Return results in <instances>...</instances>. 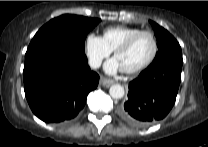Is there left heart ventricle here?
Returning <instances> with one entry per match:
<instances>
[{
  "instance_id": "1",
  "label": "left heart ventricle",
  "mask_w": 208,
  "mask_h": 147,
  "mask_svg": "<svg viewBox=\"0 0 208 147\" xmlns=\"http://www.w3.org/2000/svg\"><path fill=\"white\" fill-rule=\"evenodd\" d=\"M153 41L149 35L138 37L129 49L119 53L116 58L122 69L134 68L149 59L153 52Z\"/></svg>"
}]
</instances>
